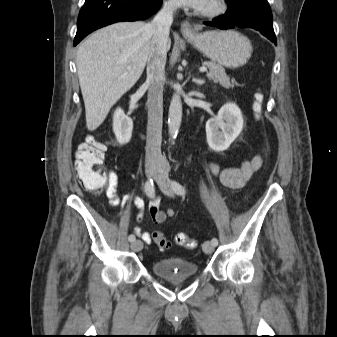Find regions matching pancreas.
Listing matches in <instances>:
<instances>
[{
	"label": "pancreas",
	"instance_id": "pancreas-1",
	"mask_svg": "<svg viewBox=\"0 0 337 337\" xmlns=\"http://www.w3.org/2000/svg\"><path fill=\"white\" fill-rule=\"evenodd\" d=\"M204 64L209 68V72L207 73L209 80H213L214 83L219 82L220 85L226 89L234 87L221 65L214 62H205Z\"/></svg>",
	"mask_w": 337,
	"mask_h": 337
}]
</instances>
